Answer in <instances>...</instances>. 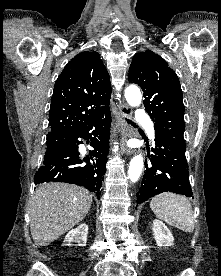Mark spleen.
Wrapping results in <instances>:
<instances>
[{"label":"spleen","instance_id":"1","mask_svg":"<svg viewBox=\"0 0 221 276\" xmlns=\"http://www.w3.org/2000/svg\"><path fill=\"white\" fill-rule=\"evenodd\" d=\"M154 214L169 225L191 233L194 230V216L189 200L174 193H162L150 202Z\"/></svg>","mask_w":221,"mask_h":276}]
</instances>
